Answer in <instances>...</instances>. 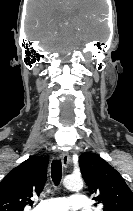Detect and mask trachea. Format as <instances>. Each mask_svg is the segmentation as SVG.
Listing matches in <instances>:
<instances>
[{
  "instance_id": "1",
  "label": "trachea",
  "mask_w": 133,
  "mask_h": 211,
  "mask_svg": "<svg viewBox=\"0 0 133 211\" xmlns=\"http://www.w3.org/2000/svg\"><path fill=\"white\" fill-rule=\"evenodd\" d=\"M51 177L55 185H59L62 177V164L60 160H53L51 164Z\"/></svg>"
}]
</instances>
